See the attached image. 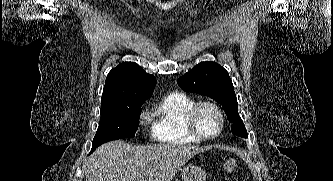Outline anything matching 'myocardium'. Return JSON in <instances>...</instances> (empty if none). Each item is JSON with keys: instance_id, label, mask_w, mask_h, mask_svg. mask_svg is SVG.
Here are the masks:
<instances>
[{"instance_id": "myocardium-1", "label": "myocardium", "mask_w": 333, "mask_h": 181, "mask_svg": "<svg viewBox=\"0 0 333 181\" xmlns=\"http://www.w3.org/2000/svg\"><path fill=\"white\" fill-rule=\"evenodd\" d=\"M204 107H208V108L212 109L216 113V115L218 116V119H219V129H218L217 133L212 136L204 135L198 128L197 116H198L200 110ZM186 121H187L188 130L190 131V133L200 140H213V139L219 137L224 129L223 113H222L221 109L219 108V106L211 101L196 102L191 107V109L188 111Z\"/></svg>"}]
</instances>
